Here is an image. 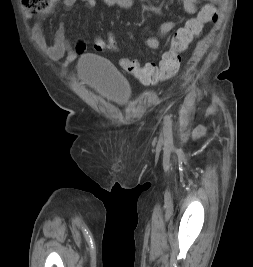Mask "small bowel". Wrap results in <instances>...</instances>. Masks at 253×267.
I'll use <instances>...</instances> for the list:
<instances>
[{
    "label": "small bowel",
    "mask_w": 253,
    "mask_h": 267,
    "mask_svg": "<svg viewBox=\"0 0 253 267\" xmlns=\"http://www.w3.org/2000/svg\"><path fill=\"white\" fill-rule=\"evenodd\" d=\"M66 9L72 8L78 0H61ZM82 6L87 9H94L97 0H81ZM105 5L119 9L131 8L135 0H101ZM183 11L187 14H195L198 10L200 0H176ZM183 20H171L163 22L157 28L156 35L146 38V45L152 50L160 49V38L173 32ZM34 40L39 48L51 59L58 60L64 58L63 66L67 67L72 63L79 54L85 52L86 44L79 40L72 46L67 38L66 30L63 23H60L55 35L53 44L49 45L44 36V18L40 17L33 28Z\"/></svg>",
    "instance_id": "obj_1"
}]
</instances>
